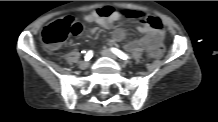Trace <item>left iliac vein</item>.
Returning <instances> with one entry per match:
<instances>
[{
  "label": "left iliac vein",
  "instance_id": "left-iliac-vein-1",
  "mask_svg": "<svg viewBox=\"0 0 218 122\" xmlns=\"http://www.w3.org/2000/svg\"><path fill=\"white\" fill-rule=\"evenodd\" d=\"M100 53H101V55H103V56H106V57H109V58H111V59H113V60L118 61L119 64H120L122 67L125 66V63L121 62V61L117 58V56H116L111 50H109V49H107V48H103V49L100 51Z\"/></svg>",
  "mask_w": 218,
  "mask_h": 122
}]
</instances>
